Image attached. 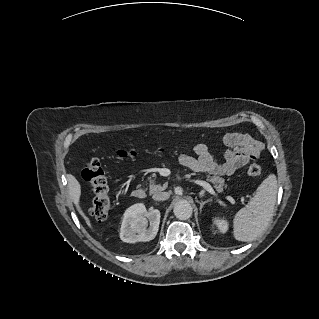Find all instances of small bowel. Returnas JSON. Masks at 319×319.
<instances>
[{
	"label": "small bowel",
	"instance_id": "c3829d8e",
	"mask_svg": "<svg viewBox=\"0 0 319 319\" xmlns=\"http://www.w3.org/2000/svg\"><path fill=\"white\" fill-rule=\"evenodd\" d=\"M224 162L217 163L206 144L194 147L195 156L180 154L179 162L196 173L209 172L218 176H231L236 170L256 159L261 145L251 136L242 133H230L224 137Z\"/></svg>",
	"mask_w": 319,
	"mask_h": 319
}]
</instances>
